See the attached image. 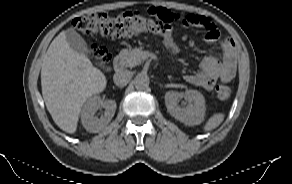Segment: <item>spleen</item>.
I'll use <instances>...</instances> for the list:
<instances>
[{"label":"spleen","mask_w":292,"mask_h":184,"mask_svg":"<svg viewBox=\"0 0 292 184\" xmlns=\"http://www.w3.org/2000/svg\"><path fill=\"white\" fill-rule=\"evenodd\" d=\"M225 115L223 113H216L211 116L204 126V131L208 132L217 128L224 120Z\"/></svg>","instance_id":"3e777b00"}]
</instances>
